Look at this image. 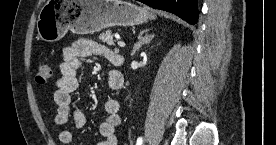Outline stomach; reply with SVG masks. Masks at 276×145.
<instances>
[{
  "label": "stomach",
  "mask_w": 276,
  "mask_h": 145,
  "mask_svg": "<svg viewBox=\"0 0 276 145\" xmlns=\"http://www.w3.org/2000/svg\"><path fill=\"white\" fill-rule=\"evenodd\" d=\"M155 19L146 8L122 0H48L40 10L41 40L56 42L68 31L92 34L112 26H134Z\"/></svg>",
  "instance_id": "stomach-1"
}]
</instances>
